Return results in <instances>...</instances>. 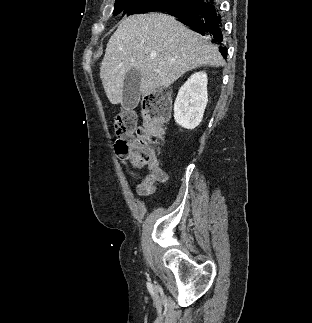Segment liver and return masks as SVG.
I'll return each instance as SVG.
<instances>
[{"mask_svg": "<svg viewBox=\"0 0 312 323\" xmlns=\"http://www.w3.org/2000/svg\"><path fill=\"white\" fill-rule=\"evenodd\" d=\"M218 46L188 30L168 14H135L121 20L101 62L100 78L111 104H122L129 70L141 72L140 94L169 88L185 72L199 66H225Z\"/></svg>", "mask_w": 312, "mask_h": 323, "instance_id": "6515ba94", "label": "liver"}]
</instances>
